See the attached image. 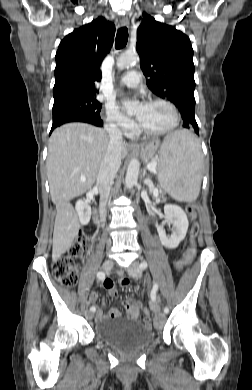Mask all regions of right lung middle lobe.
<instances>
[{
    "label": "right lung middle lobe",
    "instance_id": "obj_1",
    "mask_svg": "<svg viewBox=\"0 0 252 390\" xmlns=\"http://www.w3.org/2000/svg\"><path fill=\"white\" fill-rule=\"evenodd\" d=\"M102 104L95 95H77L54 101L53 118L65 114H77L100 120Z\"/></svg>",
    "mask_w": 252,
    "mask_h": 390
}]
</instances>
